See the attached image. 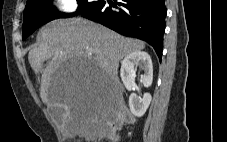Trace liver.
<instances>
[{
  "instance_id": "6515ba94",
  "label": "liver",
  "mask_w": 227,
  "mask_h": 142,
  "mask_svg": "<svg viewBox=\"0 0 227 142\" xmlns=\"http://www.w3.org/2000/svg\"><path fill=\"white\" fill-rule=\"evenodd\" d=\"M37 37L39 44L30 50L28 60L34 72L42 74V102L65 110L62 129L66 134L79 132V122L87 110L84 102L93 100L104 82L119 85L120 60L145 48L141 40L124 37L81 18L51 21L40 29ZM47 60L50 61L44 69ZM61 61H92L94 78H82L90 80L89 88H66L65 81L53 78L58 68H65Z\"/></svg>"
}]
</instances>
